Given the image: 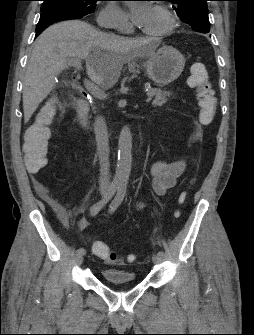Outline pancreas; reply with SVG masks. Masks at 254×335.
Returning a JSON list of instances; mask_svg holds the SVG:
<instances>
[{"mask_svg": "<svg viewBox=\"0 0 254 335\" xmlns=\"http://www.w3.org/2000/svg\"><path fill=\"white\" fill-rule=\"evenodd\" d=\"M147 95L154 97V100L152 101L154 107H161L168 101V97H170L171 93L161 89L152 88L149 89Z\"/></svg>", "mask_w": 254, "mask_h": 335, "instance_id": "obj_1", "label": "pancreas"}]
</instances>
